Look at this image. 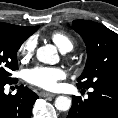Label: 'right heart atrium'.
Instances as JSON below:
<instances>
[{"label": "right heart atrium", "mask_w": 118, "mask_h": 118, "mask_svg": "<svg viewBox=\"0 0 118 118\" xmlns=\"http://www.w3.org/2000/svg\"><path fill=\"white\" fill-rule=\"evenodd\" d=\"M36 47L37 38L35 36L26 38L18 49V55L20 56L21 60L23 62L30 60L35 53Z\"/></svg>", "instance_id": "d8ad5b80"}]
</instances>
